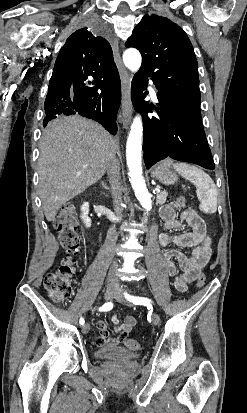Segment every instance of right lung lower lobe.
<instances>
[{"mask_svg": "<svg viewBox=\"0 0 247 413\" xmlns=\"http://www.w3.org/2000/svg\"><path fill=\"white\" fill-rule=\"evenodd\" d=\"M93 77V81H87ZM86 83L93 84L88 87ZM45 100L43 125L58 115L80 114L93 119L115 135L117 132V111L121 102V85L118 70L109 75L87 76L70 72L53 74ZM61 90V97L54 96Z\"/></svg>", "mask_w": 247, "mask_h": 413, "instance_id": "1", "label": "right lung lower lobe"}]
</instances>
